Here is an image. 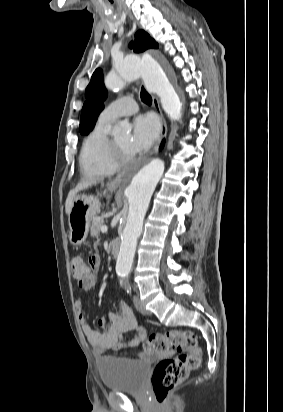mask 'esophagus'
Instances as JSON below:
<instances>
[{"label": "esophagus", "instance_id": "34e87169", "mask_svg": "<svg viewBox=\"0 0 283 412\" xmlns=\"http://www.w3.org/2000/svg\"><path fill=\"white\" fill-rule=\"evenodd\" d=\"M152 100H153V106L156 109L157 113L159 114L160 121H161V128H160L159 138H158L157 144L155 145L154 149L151 151V154H154L158 151L161 141L166 137L167 124H166V121H165L164 116L162 114L158 98L156 96L152 95ZM123 177H124V173L118 174L110 182V185H112V186L119 185L121 183Z\"/></svg>", "mask_w": 283, "mask_h": 412}]
</instances>
